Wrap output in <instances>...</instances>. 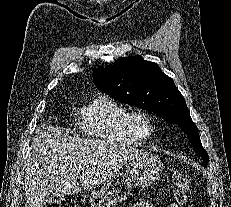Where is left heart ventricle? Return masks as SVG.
<instances>
[{
	"mask_svg": "<svg viewBox=\"0 0 231 207\" xmlns=\"http://www.w3.org/2000/svg\"><path fill=\"white\" fill-rule=\"evenodd\" d=\"M141 126H142V128H146V125L144 122H141Z\"/></svg>",
	"mask_w": 231,
	"mask_h": 207,
	"instance_id": "obj_1",
	"label": "left heart ventricle"
}]
</instances>
